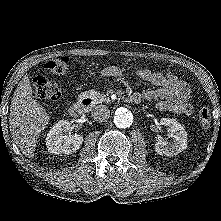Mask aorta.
<instances>
[{"label":"aorta","mask_w":221,"mask_h":221,"mask_svg":"<svg viewBox=\"0 0 221 221\" xmlns=\"http://www.w3.org/2000/svg\"><path fill=\"white\" fill-rule=\"evenodd\" d=\"M133 120V113L126 108H119L114 116V123L118 128L130 127Z\"/></svg>","instance_id":"aorta-1"}]
</instances>
